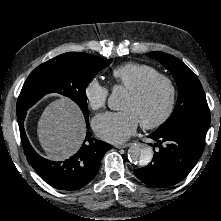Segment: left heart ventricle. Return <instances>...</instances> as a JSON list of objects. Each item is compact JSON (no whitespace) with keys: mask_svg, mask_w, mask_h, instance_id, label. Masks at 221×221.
I'll return each mask as SVG.
<instances>
[{"mask_svg":"<svg viewBox=\"0 0 221 221\" xmlns=\"http://www.w3.org/2000/svg\"><path fill=\"white\" fill-rule=\"evenodd\" d=\"M168 100V90L163 82H156L141 97L127 93L121 110L132 111L139 122H150L158 118L164 111Z\"/></svg>","mask_w":221,"mask_h":221,"instance_id":"obj_1","label":"left heart ventricle"}]
</instances>
